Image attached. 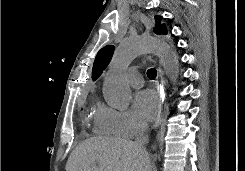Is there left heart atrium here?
<instances>
[{
    "instance_id": "1",
    "label": "left heart atrium",
    "mask_w": 245,
    "mask_h": 171,
    "mask_svg": "<svg viewBox=\"0 0 245 171\" xmlns=\"http://www.w3.org/2000/svg\"><path fill=\"white\" fill-rule=\"evenodd\" d=\"M136 113L146 120H152L159 111V98L152 90H141L134 96Z\"/></svg>"
}]
</instances>
